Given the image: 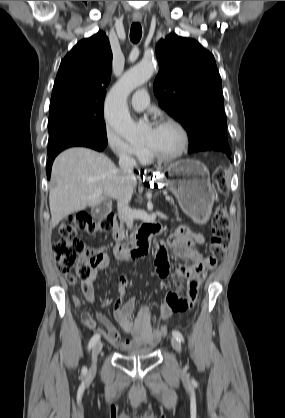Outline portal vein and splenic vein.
Listing matches in <instances>:
<instances>
[{
    "instance_id": "18ae733b",
    "label": "portal vein and splenic vein",
    "mask_w": 285,
    "mask_h": 418,
    "mask_svg": "<svg viewBox=\"0 0 285 418\" xmlns=\"http://www.w3.org/2000/svg\"><path fill=\"white\" fill-rule=\"evenodd\" d=\"M166 200H167V201H170L171 199H170V197H166Z\"/></svg>"
}]
</instances>
